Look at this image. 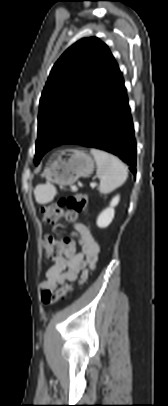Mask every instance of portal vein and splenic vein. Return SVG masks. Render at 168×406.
Returning <instances> with one entry per match:
<instances>
[{
    "label": "portal vein and splenic vein",
    "instance_id": "1",
    "mask_svg": "<svg viewBox=\"0 0 168 406\" xmlns=\"http://www.w3.org/2000/svg\"><path fill=\"white\" fill-rule=\"evenodd\" d=\"M90 186H91L92 188H94V187L96 186V184H95V183H91Z\"/></svg>",
    "mask_w": 168,
    "mask_h": 406
}]
</instances>
